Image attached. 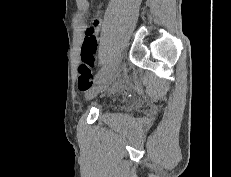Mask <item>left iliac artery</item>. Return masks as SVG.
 <instances>
[{"instance_id":"left-iliac-artery-1","label":"left iliac artery","mask_w":231,"mask_h":177,"mask_svg":"<svg viewBox=\"0 0 231 177\" xmlns=\"http://www.w3.org/2000/svg\"><path fill=\"white\" fill-rule=\"evenodd\" d=\"M108 66H109V63L108 62H103L102 63V67L101 69L98 71V73L96 74L95 76V80L99 79L102 74L104 73V71H107L108 70Z\"/></svg>"}]
</instances>
